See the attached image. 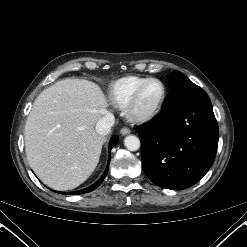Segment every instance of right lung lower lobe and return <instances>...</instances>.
I'll return each instance as SVG.
<instances>
[{"label": "right lung lower lobe", "instance_id": "1", "mask_svg": "<svg viewBox=\"0 0 247 247\" xmlns=\"http://www.w3.org/2000/svg\"><path fill=\"white\" fill-rule=\"evenodd\" d=\"M118 142V137L117 136H114L112 139H111V142H110V145H109V154L111 152V149L112 147L117 144ZM109 162H110V156H109V159H108V165L103 173V175L101 176V178L95 183L93 184L92 186L88 187V188H85V189H82V190H79V191H74V192H59L61 194H82V193H87V192H90V191H93L94 189H96L101 183L102 181L104 180V178L106 177L107 175V172H108V168H109Z\"/></svg>", "mask_w": 247, "mask_h": 247}]
</instances>
